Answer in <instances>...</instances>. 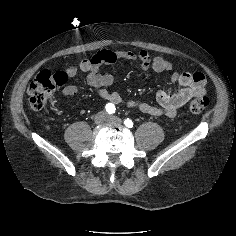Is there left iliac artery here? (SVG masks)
I'll return each mask as SVG.
<instances>
[{
	"label": "left iliac artery",
	"instance_id": "left-iliac-artery-1",
	"mask_svg": "<svg viewBox=\"0 0 236 236\" xmlns=\"http://www.w3.org/2000/svg\"><path fill=\"white\" fill-rule=\"evenodd\" d=\"M124 124H125V126L128 127V128H132L133 125H134L133 122H132V120H130L129 118H127V119L124 120Z\"/></svg>",
	"mask_w": 236,
	"mask_h": 236
}]
</instances>
